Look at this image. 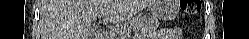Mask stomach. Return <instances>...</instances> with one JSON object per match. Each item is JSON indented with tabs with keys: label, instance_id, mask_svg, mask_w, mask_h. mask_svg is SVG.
Here are the masks:
<instances>
[{
	"label": "stomach",
	"instance_id": "obj_1",
	"mask_svg": "<svg viewBox=\"0 0 249 39\" xmlns=\"http://www.w3.org/2000/svg\"><path fill=\"white\" fill-rule=\"evenodd\" d=\"M150 11L153 16L163 19L171 20L173 19L178 11V1L177 0H154L150 5Z\"/></svg>",
	"mask_w": 249,
	"mask_h": 39
}]
</instances>
